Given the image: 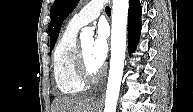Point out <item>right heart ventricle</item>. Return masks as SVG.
Listing matches in <instances>:
<instances>
[{
  "mask_svg": "<svg viewBox=\"0 0 193 112\" xmlns=\"http://www.w3.org/2000/svg\"><path fill=\"white\" fill-rule=\"evenodd\" d=\"M78 30L68 25L59 37L53 54L55 82L60 92L66 95H76L85 87L75 70Z\"/></svg>",
  "mask_w": 193,
  "mask_h": 112,
  "instance_id": "obj_1",
  "label": "right heart ventricle"
}]
</instances>
